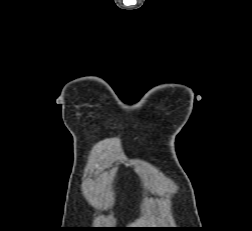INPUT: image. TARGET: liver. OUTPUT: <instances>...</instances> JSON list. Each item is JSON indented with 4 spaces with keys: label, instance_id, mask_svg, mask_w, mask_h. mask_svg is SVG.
I'll use <instances>...</instances> for the list:
<instances>
[{
    "label": "liver",
    "instance_id": "obj_1",
    "mask_svg": "<svg viewBox=\"0 0 252 231\" xmlns=\"http://www.w3.org/2000/svg\"><path fill=\"white\" fill-rule=\"evenodd\" d=\"M148 225V222L144 219H139L137 221H135L134 223H132L130 226H132L133 228H142Z\"/></svg>",
    "mask_w": 252,
    "mask_h": 231
}]
</instances>
